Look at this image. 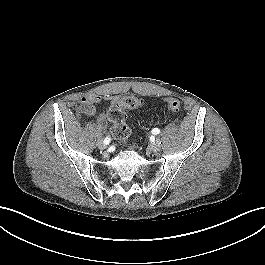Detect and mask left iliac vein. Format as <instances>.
Here are the masks:
<instances>
[{
	"mask_svg": "<svg viewBox=\"0 0 265 265\" xmlns=\"http://www.w3.org/2000/svg\"><path fill=\"white\" fill-rule=\"evenodd\" d=\"M161 149V145L160 142L158 140L154 141L151 145H150V150L152 152H158Z\"/></svg>",
	"mask_w": 265,
	"mask_h": 265,
	"instance_id": "left-iliac-vein-1",
	"label": "left iliac vein"
}]
</instances>
